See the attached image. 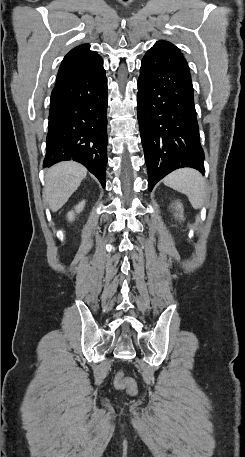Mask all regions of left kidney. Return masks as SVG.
<instances>
[{"label": "left kidney", "instance_id": "obj_1", "mask_svg": "<svg viewBox=\"0 0 245 457\" xmlns=\"http://www.w3.org/2000/svg\"><path fill=\"white\" fill-rule=\"evenodd\" d=\"M174 208H181V210H182L183 206H182L181 202H177V204H176V206H174ZM175 216H180L181 220H183V218H182L183 214H180V212H179V214H178V212H176Z\"/></svg>", "mask_w": 245, "mask_h": 457}]
</instances>
